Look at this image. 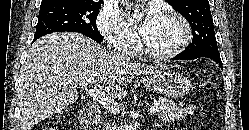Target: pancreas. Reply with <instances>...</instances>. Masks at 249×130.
Segmentation results:
<instances>
[{"mask_svg":"<svg viewBox=\"0 0 249 130\" xmlns=\"http://www.w3.org/2000/svg\"><path fill=\"white\" fill-rule=\"evenodd\" d=\"M158 116L160 119L171 122L175 119H181L189 114H193V106H185L183 103H175L172 100L160 97L158 100Z\"/></svg>","mask_w":249,"mask_h":130,"instance_id":"pancreas-1","label":"pancreas"}]
</instances>
